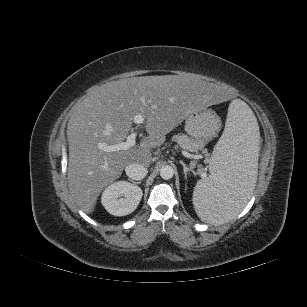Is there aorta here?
<instances>
[{
	"label": "aorta",
	"instance_id": "obj_1",
	"mask_svg": "<svg viewBox=\"0 0 307 307\" xmlns=\"http://www.w3.org/2000/svg\"><path fill=\"white\" fill-rule=\"evenodd\" d=\"M173 175H174V170L169 165H165L160 169V176L164 180L171 179Z\"/></svg>",
	"mask_w": 307,
	"mask_h": 307
}]
</instances>
